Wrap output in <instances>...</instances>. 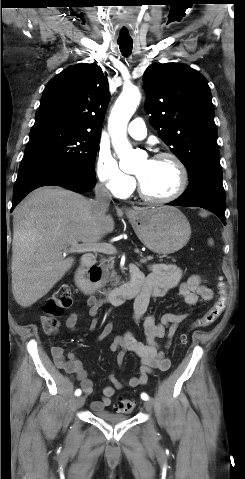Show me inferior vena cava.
<instances>
[{"instance_id":"602c4592","label":"inferior vena cava","mask_w":245,"mask_h":479,"mask_svg":"<svg viewBox=\"0 0 245 479\" xmlns=\"http://www.w3.org/2000/svg\"><path fill=\"white\" fill-rule=\"evenodd\" d=\"M112 195L103 183L95 187V199L91 201L92 206L99 214H105L108 211Z\"/></svg>"}]
</instances>
